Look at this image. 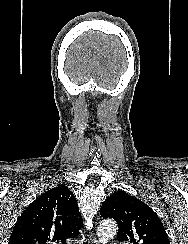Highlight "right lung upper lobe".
Instances as JSON below:
<instances>
[{
  "instance_id": "right-lung-upper-lobe-1",
  "label": "right lung upper lobe",
  "mask_w": 188,
  "mask_h": 244,
  "mask_svg": "<svg viewBox=\"0 0 188 244\" xmlns=\"http://www.w3.org/2000/svg\"><path fill=\"white\" fill-rule=\"evenodd\" d=\"M82 217L73 193L58 185L33 201L17 220L8 244H66L79 235Z\"/></svg>"
}]
</instances>
